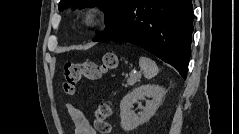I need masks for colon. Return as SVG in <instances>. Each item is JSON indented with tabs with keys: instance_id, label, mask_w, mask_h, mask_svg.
<instances>
[{
	"instance_id": "5ec220e1",
	"label": "colon",
	"mask_w": 239,
	"mask_h": 134,
	"mask_svg": "<svg viewBox=\"0 0 239 134\" xmlns=\"http://www.w3.org/2000/svg\"><path fill=\"white\" fill-rule=\"evenodd\" d=\"M118 57L114 53H107L103 56L101 63L94 61H84L81 63L68 62L63 68L62 87L66 94H73L76 86L82 79L96 81L109 70L117 67ZM113 113V105L110 101H105L96 108L94 126L101 134L112 133V125L108 122Z\"/></svg>"
}]
</instances>
